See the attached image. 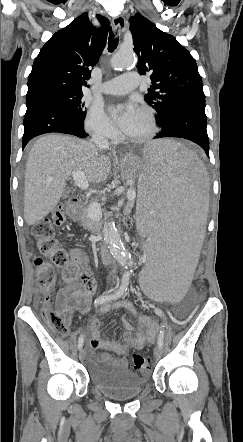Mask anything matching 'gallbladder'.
I'll list each match as a JSON object with an SVG mask.
<instances>
[{
    "label": "gallbladder",
    "mask_w": 243,
    "mask_h": 442,
    "mask_svg": "<svg viewBox=\"0 0 243 442\" xmlns=\"http://www.w3.org/2000/svg\"><path fill=\"white\" fill-rule=\"evenodd\" d=\"M72 188L67 187L64 194H63V198H66L68 196V194L71 192Z\"/></svg>",
    "instance_id": "obj_1"
}]
</instances>
